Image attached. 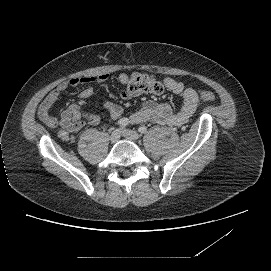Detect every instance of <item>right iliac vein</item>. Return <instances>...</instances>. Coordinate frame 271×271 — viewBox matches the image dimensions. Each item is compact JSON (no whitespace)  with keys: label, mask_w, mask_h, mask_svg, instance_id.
I'll return each instance as SVG.
<instances>
[{"label":"right iliac vein","mask_w":271,"mask_h":271,"mask_svg":"<svg viewBox=\"0 0 271 271\" xmlns=\"http://www.w3.org/2000/svg\"><path fill=\"white\" fill-rule=\"evenodd\" d=\"M120 134H121V131L119 129L114 130L110 136V141L112 143L117 142L120 138Z\"/></svg>","instance_id":"right-iliac-vein-1"}]
</instances>
